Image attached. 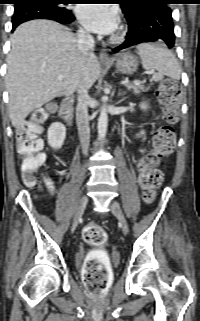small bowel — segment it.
Segmentation results:
<instances>
[{
  "label": "small bowel",
  "mask_w": 200,
  "mask_h": 321,
  "mask_svg": "<svg viewBox=\"0 0 200 321\" xmlns=\"http://www.w3.org/2000/svg\"><path fill=\"white\" fill-rule=\"evenodd\" d=\"M44 156H45V155H44ZM44 160H45V159H44ZM44 181H45V184H46L49 192H50L51 194H53V193H54V189H53V186H52V183H51L50 179L45 178Z\"/></svg>",
  "instance_id": "small-bowel-1"
}]
</instances>
